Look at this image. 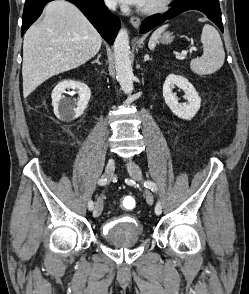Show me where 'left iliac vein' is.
<instances>
[{
	"mask_svg": "<svg viewBox=\"0 0 249 294\" xmlns=\"http://www.w3.org/2000/svg\"><path fill=\"white\" fill-rule=\"evenodd\" d=\"M127 170L129 172V175L135 179V180H141L142 179V172H141V169L140 167L132 162V161H129L127 163ZM146 200H147V203L149 205H152L153 202H154V198H153V195L150 191H146Z\"/></svg>",
	"mask_w": 249,
	"mask_h": 294,
	"instance_id": "obj_1",
	"label": "left iliac vein"
}]
</instances>
